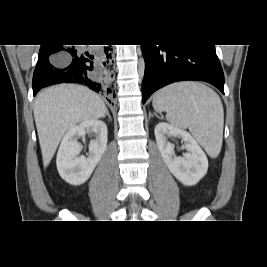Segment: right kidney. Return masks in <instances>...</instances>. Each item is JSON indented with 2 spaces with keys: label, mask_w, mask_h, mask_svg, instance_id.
Listing matches in <instances>:
<instances>
[{
  "label": "right kidney",
  "mask_w": 267,
  "mask_h": 267,
  "mask_svg": "<svg viewBox=\"0 0 267 267\" xmlns=\"http://www.w3.org/2000/svg\"><path fill=\"white\" fill-rule=\"evenodd\" d=\"M87 133H95L89 144V154L79 156L82 146L78 139ZM107 126L100 120H87L71 128L63 137L57 153V169L60 176L72 185L83 184L100 161L107 147Z\"/></svg>",
  "instance_id": "1"
}]
</instances>
